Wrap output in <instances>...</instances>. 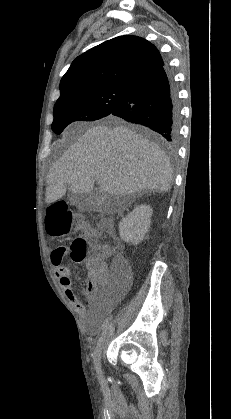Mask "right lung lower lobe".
Here are the masks:
<instances>
[{"label": "right lung lower lobe", "instance_id": "1", "mask_svg": "<svg viewBox=\"0 0 231 419\" xmlns=\"http://www.w3.org/2000/svg\"><path fill=\"white\" fill-rule=\"evenodd\" d=\"M110 115L143 124L161 134L168 144H174L178 138L180 108L167 66L162 64L136 81Z\"/></svg>", "mask_w": 231, "mask_h": 419}]
</instances>
